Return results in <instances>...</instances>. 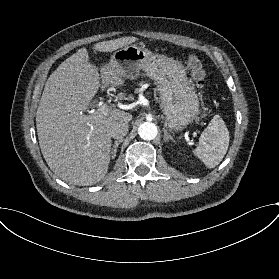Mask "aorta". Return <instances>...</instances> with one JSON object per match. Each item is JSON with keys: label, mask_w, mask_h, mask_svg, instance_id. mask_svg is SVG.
<instances>
[{"label": "aorta", "mask_w": 279, "mask_h": 279, "mask_svg": "<svg viewBox=\"0 0 279 279\" xmlns=\"http://www.w3.org/2000/svg\"><path fill=\"white\" fill-rule=\"evenodd\" d=\"M138 134L144 140H153L158 134L157 126L152 122H144L139 126Z\"/></svg>", "instance_id": "obj_1"}]
</instances>
